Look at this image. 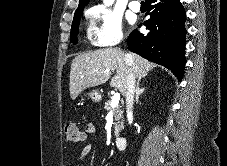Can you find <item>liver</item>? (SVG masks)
Instances as JSON below:
<instances>
[{
  "label": "liver",
  "mask_w": 227,
  "mask_h": 166,
  "mask_svg": "<svg viewBox=\"0 0 227 166\" xmlns=\"http://www.w3.org/2000/svg\"><path fill=\"white\" fill-rule=\"evenodd\" d=\"M154 67H156L154 63L141 56L118 48H104L82 53L71 63L69 82L71 99L75 100L87 88L106 83L114 70L116 75L111 79L110 86L117 88L122 95H125L129 69L135 78L141 79Z\"/></svg>",
  "instance_id": "obj_1"
}]
</instances>
